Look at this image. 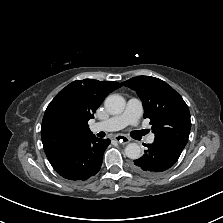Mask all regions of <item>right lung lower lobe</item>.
I'll list each match as a JSON object with an SVG mask.
<instances>
[{
    "instance_id": "1",
    "label": "right lung lower lobe",
    "mask_w": 223,
    "mask_h": 223,
    "mask_svg": "<svg viewBox=\"0 0 223 223\" xmlns=\"http://www.w3.org/2000/svg\"><path fill=\"white\" fill-rule=\"evenodd\" d=\"M109 144V139H99L93 135L79 144L57 150L47 158L62 177L84 181L98 173L103 153Z\"/></svg>"
}]
</instances>
